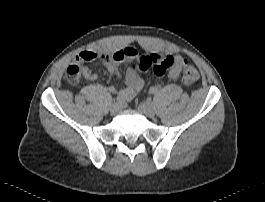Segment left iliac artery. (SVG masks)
Listing matches in <instances>:
<instances>
[{
  "mask_svg": "<svg viewBox=\"0 0 265 202\" xmlns=\"http://www.w3.org/2000/svg\"><path fill=\"white\" fill-rule=\"evenodd\" d=\"M149 92L151 94H155L157 92V89L155 87H151L150 90H149Z\"/></svg>",
  "mask_w": 265,
  "mask_h": 202,
  "instance_id": "1",
  "label": "left iliac artery"
}]
</instances>
